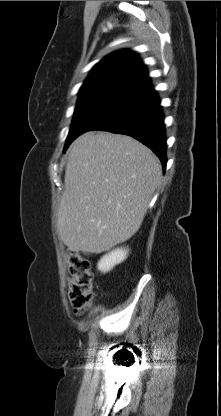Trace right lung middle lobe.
Masks as SVG:
<instances>
[{"label":"right lung middle lobe","instance_id":"dd1d6c3e","mask_svg":"<svg viewBox=\"0 0 221 416\" xmlns=\"http://www.w3.org/2000/svg\"><path fill=\"white\" fill-rule=\"evenodd\" d=\"M124 98L126 97L117 94L80 97L64 150L81 133L96 127Z\"/></svg>","mask_w":221,"mask_h":416}]
</instances>
